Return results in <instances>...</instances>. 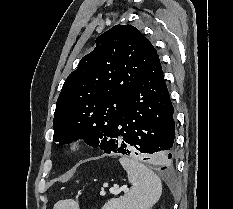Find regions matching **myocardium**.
Masks as SVG:
<instances>
[{
	"label": "myocardium",
	"mask_w": 233,
	"mask_h": 209,
	"mask_svg": "<svg viewBox=\"0 0 233 209\" xmlns=\"http://www.w3.org/2000/svg\"><path fill=\"white\" fill-rule=\"evenodd\" d=\"M69 151L72 153L78 152L82 148V142L80 139H73L69 143Z\"/></svg>",
	"instance_id": "myocardium-1"
}]
</instances>
